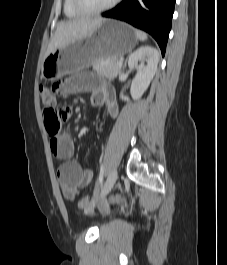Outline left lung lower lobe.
<instances>
[{
  "instance_id": "obj_1",
  "label": "left lung lower lobe",
  "mask_w": 227,
  "mask_h": 265,
  "mask_svg": "<svg viewBox=\"0 0 227 265\" xmlns=\"http://www.w3.org/2000/svg\"><path fill=\"white\" fill-rule=\"evenodd\" d=\"M176 0H123L103 17L125 21L153 36L164 56Z\"/></svg>"
}]
</instances>
